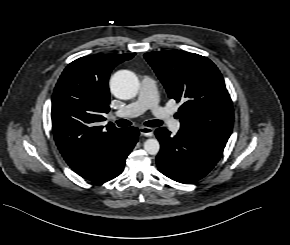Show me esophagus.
Instances as JSON below:
<instances>
[{"mask_svg":"<svg viewBox=\"0 0 290 245\" xmlns=\"http://www.w3.org/2000/svg\"><path fill=\"white\" fill-rule=\"evenodd\" d=\"M139 131L141 135L146 137H152L154 135V129L150 127H140Z\"/></svg>","mask_w":290,"mask_h":245,"instance_id":"1","label":"esophagus"}]
</instances>
